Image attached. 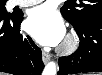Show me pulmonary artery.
I'll list each match as a JSON object with an SVG mask.
<instances>
[{
	"label": "pulmonary artery",
	"mask_w": 102,
	"mask_h": 75,
	"mask_svg": "<svg viewBox=\"0 0 102 75\" xmlns=\"http://www.w3.org/2000/svg\"><path fill=\"white\" fill-rule=\"evenodd\" d=\"M16 2L26 5L30 3H40L43 2V0H16Z\"/></svg>",
	"instance_id": "pulmonary-artery-1"
}]
</instances>
